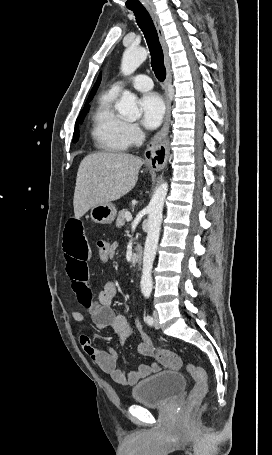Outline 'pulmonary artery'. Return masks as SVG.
I'll list each match as a JSON object with an SVG mask.
<instances>
[{"label": "pulmonary artery", "mask_w": 272, "mask_h": 455, "mask_svg": "<svg viewBox=\"0 0 272 455\" xmlns=\"http://www.w3.org/2000/svg\"><path fill=\"white\" fill-rule=\"evenodd\" d=\"M126 84L132 85L135 89L139 91H148L153 87L152 80L148 76L136 75L127 81L121 80L115 82L111 86V90L114 91L115 93H118Z\"/></svg>", "instance_id": "obj_1"}]
</instances>
